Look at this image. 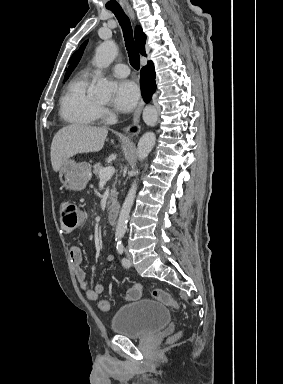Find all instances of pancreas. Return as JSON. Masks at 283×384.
I'll return each mask as SVG.
<instances>
[{
  "label": "pancreas",
  "instance_id": "cf45deb5",
  "mask_svg": "<svg viewBox=\"0 0 283 384\" xmlns=\"http://www.w3.org/2000/svg\"><path fill=\"white\" fill-rule=\"evenodd\" d=\"M101 170H103V166H102V164H100V162H98V164H95V166H93V174H95L96 178H99V174H100ZM115 184H116V182H115ZM115 184H113L112 190H110L111 194H110V200H109L108 204H112V202H115V200L118 196V194L116 192Z\"/></svg>",
  "mask_w": 283,
  "mask_h": 384
}]
</instances>
